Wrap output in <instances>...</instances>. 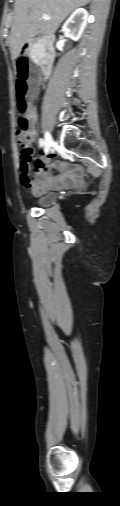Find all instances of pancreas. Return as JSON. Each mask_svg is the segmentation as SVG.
<instances>
[{"instance_id": "cf45deb5", "label": "pancreas", "mask_w": 120, "mask_h": 506, "mask_svg": "<svg viewBox=\"0 0 120 506\" xmlns=\"http://www.w3.org/2000/svg\"><path fill=\"white\" fill-rule=\"evenodd\" d=\"M32 55L36 56L37 54H36L35 52H33V54H32Z\"/></svg>"}]
</instances>
